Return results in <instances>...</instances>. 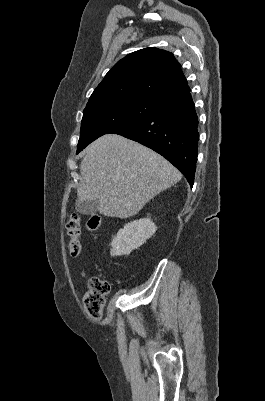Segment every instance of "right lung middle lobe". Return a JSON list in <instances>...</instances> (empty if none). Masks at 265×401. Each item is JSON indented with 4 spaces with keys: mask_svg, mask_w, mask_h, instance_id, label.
<instances>
[{
    "mask_svg": "<svg viewBox=\"0 0 265 401\" xmlns=\"http://www.w3.org/2000/svg\"><path fill=\"white\" fill-rule=\"evenodd\" d=\"M162 104L142 99L111 101L86 106L77 153L98 137L134 123L158 110Z\"/></svg>",
    "mask_w": 265,
    "mask_h": 401,
    "instance_id": "dd1d6c3e",
    "label": "right lung middle lobe"
}]
</instances>
